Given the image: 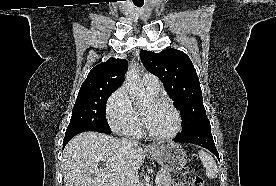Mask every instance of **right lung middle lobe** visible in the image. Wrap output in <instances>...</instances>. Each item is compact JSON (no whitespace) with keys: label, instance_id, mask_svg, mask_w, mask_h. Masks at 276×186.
Masks as SVG:
<instances>
[{"label":"right lung middle lobe","instance_id":"dd1d6c3e","mask_svg":"<svg viewBox=\"0 0 276 186\" xmlns=\"http://www.w3.org/2000/svg\"><path fill=\"white\" fill-rule=\"evenodd\" d=\"M114 91L112 89L79 91L66 132L85 127L110 129L105 111L107 100Z\"/></svg>","mask_w":276,"mask_h":186}]
</instances>
